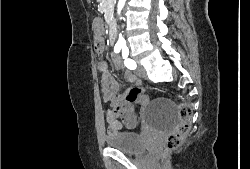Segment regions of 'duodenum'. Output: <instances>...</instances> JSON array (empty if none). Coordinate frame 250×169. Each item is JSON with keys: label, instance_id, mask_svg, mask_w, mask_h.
Listing matches in <instances>:
<instances>
[{"label": "duodenum", "instance_id": "duodenum-1", "mask_svg": "<svg viewBox=\"0 0 250 169\" xmlns=\"http://www.w3.org/2000/svg\"><path fill=\"white\" fill-rule=\"evenodd\" d=\"M109 38L112 43L116 41V28L113 21H111L109 27Z\"/></svg>", "mask_w": 250, "mask_h": 169}]
</instances>
